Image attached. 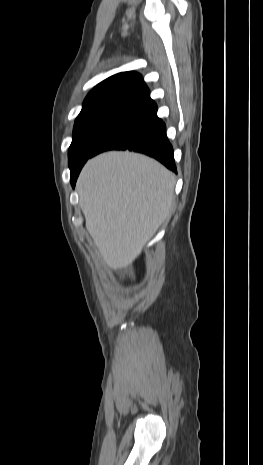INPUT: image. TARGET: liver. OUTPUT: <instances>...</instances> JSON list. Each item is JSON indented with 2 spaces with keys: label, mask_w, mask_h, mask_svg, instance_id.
Here are the masks:
<instances>
[{
  "label": "liver",
  "mask_w": 263,
  "mask_h": 465,
  "mask_svg": "<svg viewBox=\"0 0 263 465\" xmlns=\"http://www.w3.org/2000/svg\"><path fill=\"white\" fill-rule=\"evenodd\" d=\"M175 176L145 155L111 151L83 167L80 206L101 257L109 268L130 266L170 216Z\"/></svg>",
  "instance_id": "liver-1"
}]
</instances>
